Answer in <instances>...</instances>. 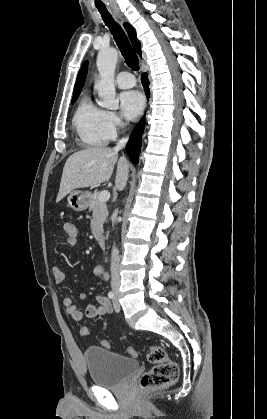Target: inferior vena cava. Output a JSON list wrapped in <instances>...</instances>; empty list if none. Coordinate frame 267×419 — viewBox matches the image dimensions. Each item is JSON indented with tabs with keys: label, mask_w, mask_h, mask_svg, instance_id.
I'll list each match as a JSON object with an SVG mask.
<instances>
[{
	"label": "inferior vena cava",
	"mask_w": 267,
	"mask_h": 419,
	"mask_svg": "<svg viewBox=\"0 0 267 419\" xmlns=\"http://www.w3.org/2000/svg\"><path fill=\"white\" fill-rule=\"evenodd\" d=\"M127 138L120 140L115 146V150H120L126 145ZM119 252L115 245L112 248L111 252V287L113 290H117L120 286V269H119Z\"/></svg>",
	"instance_id": "inferior-vena-cava-1"
}]
</instances>
